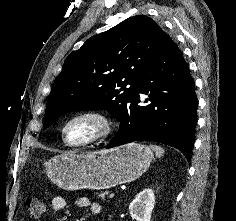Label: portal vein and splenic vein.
Listing matches in <instances>:
<instances>
[{"label": "portal vein and splenic vein", "mask_w": 236, "mask_h": 221, "mask_svg": "<svg viewBox=\"0 0 236 221\" xmlns=\"http://www.w3.org/2000/svg\"><path fill=\"white\" fill-rule=\"evenodd\" d=\"M114 196H115L114 193L109 194V198H114Z\"/></svg>", "instance_id": "portal-vein-and-splenic-vein-1"}]
</instances>
